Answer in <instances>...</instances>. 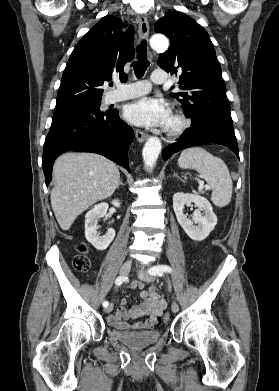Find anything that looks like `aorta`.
I'll return each instance as SVG.
<instances>
[{"label": "aorta", "mask_w": 279, "mask_h": 391, "mask_svg": "<svg viewBox=\"0 0 279 391\" xmlns=\"http://www.w3.org/2000/svg\"><path fill=\"white\" fill-rule=\"evenodd\" d=\"M150 46L154 50H165L169 46L168 39L163 35H154L150 39ZM161 141L157 137H150L142 151L145 167L148 171H151L156 164L158 156L161 152Z\"/></svg>", "instance_id": "aorta-1"}]
</instances>
